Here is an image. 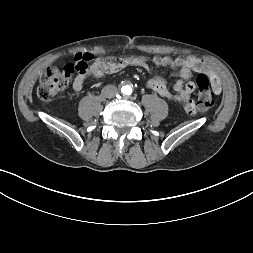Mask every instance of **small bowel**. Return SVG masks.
Segmentation results:
<instances>
[{"mask_svg":"<svg viewBox=\"0 0 253 253\" xmlns=\"http://www.w3.org/2000/svg\"><path fill=\"white\" fill-rule=\"evenodd\" d=\"M84 55L90 54H77L76 59H79ZM152 61L156 66L178 69V73L176 74V81L173 86L174 92L170 91L163 78L157 76L147 80V88L163 98L183 102L184 114L187 117H195L198 114V97L194 93L196 91V85L191 81L187 83L185 81L190 78L193 71L208 73L204 64L195 57H180L172 59L166 56H156ZM126 67H141L147 71L151 70L148 59L142 56L110 58L95 57L92 59L88 72L76 76L73 82V89L77 92L83 89L87 74L96 78H101L106 74L118 73ZM211 82L213 90L216 93L220 92L221 87L218 80L211 76Z\"/></svg>","mask_w":253,"mask_h":253,"instance_id":"c3829d8e","label":"small bowel"}]
</instances>
